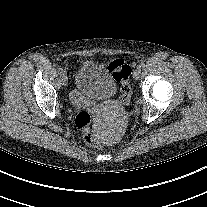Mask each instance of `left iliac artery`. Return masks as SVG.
<instances>
[{
	"label": "left iliac artery",
	"mask_w": 207,
	"mask_h": 207,
	"mask_svg": "<svg viewBox=\"0 0 207 207\" xmlns=\"http://www.w3.org/2000/svg\"><path fill=\"white\" fill-rule=\"evenodd\" d=\"M145 67V64L142 62V63H140V65H139V68H144Z\"/></svg>",
	"instance_id": "44dca946"
}]
</instances>
